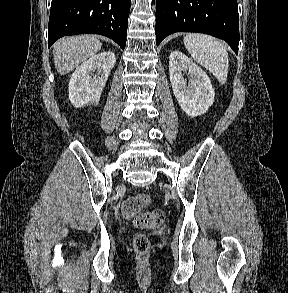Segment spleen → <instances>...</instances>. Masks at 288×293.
Segmentation results:
<instances>
[{"instance_id":"obj_1","label":"spleen","mask_w":288,"mask_h":293,"mask_svg":"<svg viewBox=\"0 0 288 293\" xmlns=\"http://www.w3.org/2000/svg\"><path fill=\"white\" fill-rule=\"evenodd\" d=\"M184 45L193 59L208 69L221 84L228 76V53L225 46L215 38L191 33L184 37Z\"/></svg>"}]
</instances>
